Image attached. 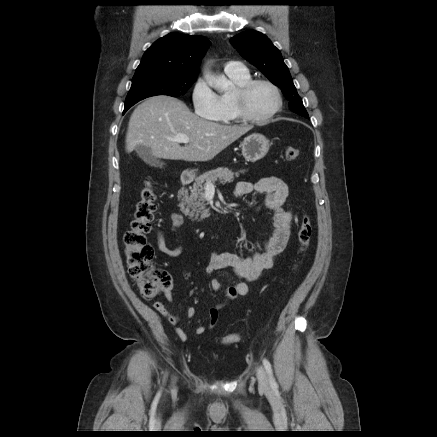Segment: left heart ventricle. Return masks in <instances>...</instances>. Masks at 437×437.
I'll use <instances>...</instances> for the list:
<instances>
[{"label": "left heart ventricle", "instance_id": "1", "mask_svg": "<svg viewBox=\"0 0 437 437\" xmlns=\"http://www.w3.org/2000/svg\"><path fill=\"white\" fill-rule=\"evenodd\" d=\"M276 105L273 90L267 85L255 86L249 94L247 106L249 112L257 117L269 114Z\"/></svg>", "mask_w": 437, "mask_h": 437}]
</instances>
